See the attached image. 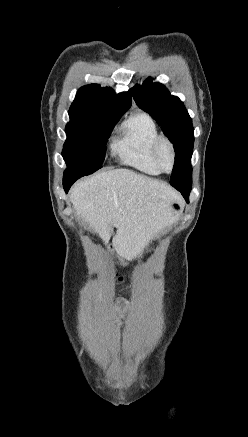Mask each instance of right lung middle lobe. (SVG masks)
<instances>
[{"label": "right lung middle lobe", "mask_w": 248, "mask_h": 437, "mask_svg": "<svg viewBox=\"0 0 248 437\" xmlns=\"http://www.w3.org/2000/svg\"><path fill=\"white\" fill-rule=\"evenodd\" d=\"M118 118L90 120L70 116L62 156L67 165L64 176H85L102 167L106 143Z\"/></svg>", "instance_id": "obj_1"}]
</instances>
